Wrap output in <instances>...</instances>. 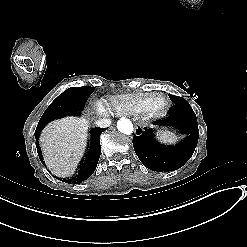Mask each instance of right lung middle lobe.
<instances>
[{
  "label": "right lung middle lobe",
  "instance_id": "obj_1",
  "mask_svg": "<svg viewBox=\"0 0 247 247\" xmlns=\"http://www.w3.org/2000/svg\"><path fill=\"white\" fill-rule=\"evenodd\" d=\"M94 91L93 87H74L61 93L45 110L41 119H55L65 114H76L81 111Z\"/></svg>",
  "mask_w": 247,
  "mask_h": 247
}]
</instances>
